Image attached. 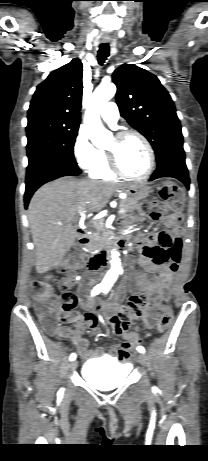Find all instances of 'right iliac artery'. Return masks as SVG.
<instances>
[{"mask_svg": "<svg viewBox=\"0 0 208 461\" xmlns=\"http://www.w3.org/2000/svg\"><path fill=\"white\" fill-rule=\"evenodd\" d=\"M103 289H104V287H102V286H100V285H97V286H95L94 289L92 290L91 295H92V296H95V295L99 294ZM69 359H70V361L75 360V359H76V354H75V353H72V354L70 355V358H69Z\"/></svg>", "mask_w": 208, "mask_h": 461, "instance_id": "obj_1", "label": "right iliac artery"}]
</instances>
